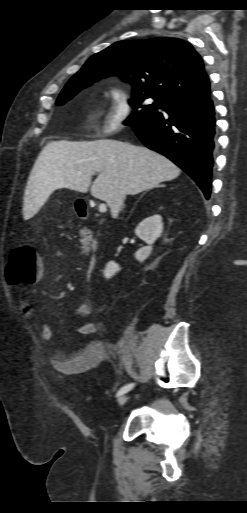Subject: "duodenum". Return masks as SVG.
<instances>
[{"mask_svg":"<svg viewBox=\"0 0 247 513\" xmlns=\"http://www.w3.org/2000/svg\"><path fill=\"white\" fill-rule=\"evenodd\" d=\"M76 210L78 212V214L83 217V218H86L88 216V208H87V204L86 202L80 200L76 203ZM97 257L96 256H93L91 258V261H90V264L92 266H95L96 263H97Z\"/></svg>","mask_w":247,"mask_h":513,"instance_id":"1","label":"duodenum"}]
</instances>
